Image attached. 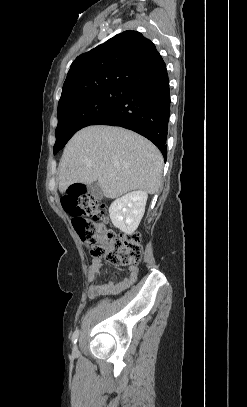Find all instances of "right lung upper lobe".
Here are the masks:
<instances>
[{
  "label": "right lung upper lobe",
  "mask_w": 247,
  "mask_h": 407,
  "mask_svg": "<svg viewBox=\"0 0 247 407\" xmlns=\"http://www.w3.org/2000/svg\"><path fill=\"white\" fill-rule=\"evenodd\" d=\"M165 66L155 45L141 33L125 31L117 34L74 60L58 107L106 88H133Z\"/></svg>",
  "instance_id": "1"
}]
</instances>
